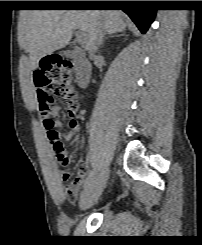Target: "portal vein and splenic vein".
<instances>
[{
	"instance_id": "1",
	"label": "portal vein and splenic vein",
	"mask_w": 202,
	"mask_h": 245,
	"mask_svg": "<svg viewBox=\"0 0 202 245\" xmlns=\"http://www.w3.org/2000/svg\"><path fill=\"white\" fill-rule=\"evenodd\" d=\"M76 40L78 43L83 44L85 42V33L82 31H77Z\"/></svg>"
}]
</instances>
